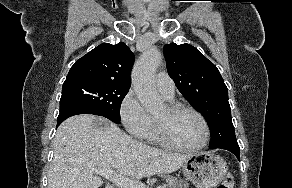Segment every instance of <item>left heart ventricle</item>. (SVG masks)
I'll use <instances>...</instances> for the list:
<instances>
[{
	"instance_id": "left-heart-ventricle-1",
	"label": "left heart ventricle",
	"mask_w": 292,
	"mask_h": 188,
	"mask_svg": "<svg viewBox=\"0 0 292 188\" xmlns=\"http://www.w3.org/2000/svg\"><path fill=\"white\" fill-rule=\"evenodd\" d=\"M155 118L165 124L170 136L181 145L196 146L204 138L203 124L191 112L171 114L165 107Z\"/></svg>"
}]
</instances>
